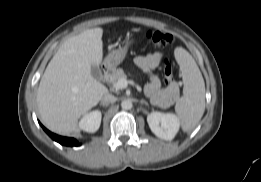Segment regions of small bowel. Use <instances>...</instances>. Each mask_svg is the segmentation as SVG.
<instances>
[{"instance_id": "1", "label": "small bowel", "mask_w": 261, "mask_h": 182, "mask_svg": "<svg viewBox=\"0 0 261 182\" xmlns=\"http://www.w3.org/2000/svg\"><path fill=\"white\" fill-rule=\"evenodd\" d=\"M162 59L163 53L161 52H153L146 55H140L135 58L136 66L149 78V81L145 86V94L149 98L155 97L160 89V81L153 74V70L159 66Z\"/></svg>"}]
</instances>
